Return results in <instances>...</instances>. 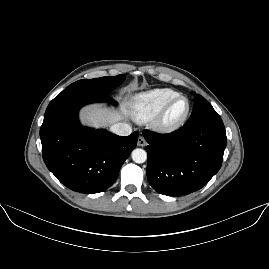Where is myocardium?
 I'll use <instances>...</instances> for the list:
<instances>
[{"mask_svg":"<svg viewBox=\"0 0 269 269\" xmlns=\"http://www.w3.org/2000/svg\"><path fill=\"white\" fill-rule=\"evenodd\" d=\"M180 99H184L186 101L187 103L186 109L181 117H179L176 120H171L170 119L171 109L173 108L174 104ZM189 111H190L189 100L184 96H177L174 99H172L170 102H168V104L163 109V111L156 117L155 125L162 132H166V133L175 132L184 125V123L186 122L188 118Z\"/></svg>","mask_w":269,"mask_h":269,"instance_id":"1","label":"myocardium"}]
</instances>
